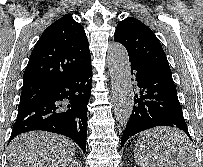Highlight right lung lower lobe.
Instances as JSON below:
<instances>
[{"label":"right lung lower lobe","mask_w":203,"mask_h":167,"mask_svg":"<svg viewBox=\"0 0 203 167\" xmlns=\"http://www.w3.org/2000/svg\"><path fill=\"white\" fill-rule=\"evenodd\" d=\"M90 63L64 79L47 96L20 102L9 141L24 132L43 130L73 139L85 152Z\"/></svg>","instance_id":"obj_1"}]
</instances>
